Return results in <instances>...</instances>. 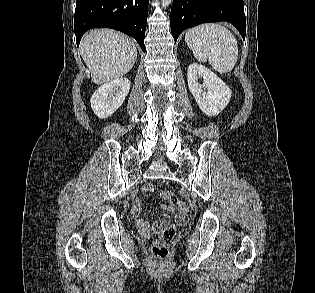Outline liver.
Segmentation results:
<instances>
[{
    "label": "liver",
    "instance_id": "liver-1",
    "mask_svg": "<svg viewBox=\"0 0 315 293\" xmlns=\"http://www.w3.org/2000/svg\"><path fill=\"white\" fill-rule=\"evenodd\" d=\"M80 53L95 84L108 83L127 74L137 58L134 41L111 29L86 33L80 43Z\"/></svg>",
    "mask_w": 315,
    "mask_h": 293
}]
</instances>
